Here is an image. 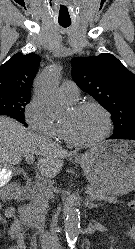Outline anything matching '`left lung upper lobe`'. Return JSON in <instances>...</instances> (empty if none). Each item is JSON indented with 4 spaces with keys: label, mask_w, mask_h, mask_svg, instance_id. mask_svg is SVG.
Segmentation results:
<instances>
[{
    "label": "left lung upper lobe",
    "mask_w": 135,
    "mask_h": 249,
    "mask_svg": "<svg viewBox=\"0 0 135 249\" xmlns=\"http://www.w3.org/2000/svg\"><path fill=\"white\" fill-rule=\"evenodd\" d=\"M72 68L76 84L110 111L114 133L135 126V75L114 55L76 57Z\"/></svg>",
    "instance_id": "1"
}]
</instances>
